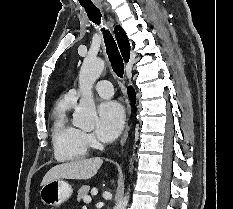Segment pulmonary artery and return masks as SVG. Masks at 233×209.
Here are the masks:
<instances>
[{"mask_svg":"<svg viewBox=\"0 0 233 209\" xmlns=\"http://www.w3.org/2000/svg\"><path fill=\"white\" fill-rule=\"evenodd\" d=\"M94 90L98 95H100L101 97H104V98H109V97L113 96V94H114L113 86H112L111 82H109L107 80L98 81L94 86ZM69 94L72 97H74L75 99L79 95L78 91L75 89H72L69 92Z\"/></svg>","mask_w":233,"mask_h":209,"instance_id":"1","label":"pulmonary artery"}]
</instances>
